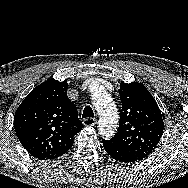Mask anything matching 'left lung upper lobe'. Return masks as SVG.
Here are the masks:
<instances>
[{"mask_svg":"<svg viewBox=\"0 0 188 188\" xmlns=\"http://www.w3.org/2000/svg\"><path fill=\"white\" fill-rule=\"evenodd\" d=\"M119 93L122 103L119 127L110 141L144 159L154 151L162 137L161 111L141 83L121 82Z\"/></svg>","mask_w":188,"mask_h":188,"instance_id":"5c2ea615","label":"left lung upper lobe"}]
</instances>
